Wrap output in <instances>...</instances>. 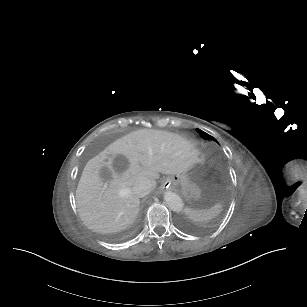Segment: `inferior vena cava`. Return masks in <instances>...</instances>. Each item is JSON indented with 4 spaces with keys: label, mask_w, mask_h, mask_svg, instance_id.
<instances>
[{
    "label": "inferior vena cava",
    "mask_w": 307,
    "mask_h": 307,
    "mask_svg": "<svg viewBox=\"0 0 307 307\" xmlns=\"http://www.w3.org/2000/svg\"><path fill=\"white\" fill-rule=\"evenodd\" d=\"M132 190L134 194L137 195L138 197H145L151 192L152 183L146 177L140 178L138 181L135 182V184L132 187Z\"/></svg>",
    "instance_id": "602c4592"
}]
</instances>
